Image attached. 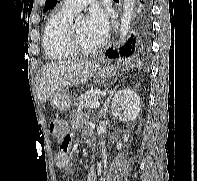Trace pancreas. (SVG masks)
Here are the masks:
<instances>
[{"label":"pancreas","mask_w":197,"mask_h":181,"mask_svg":"<svg viewBox=\"0 0 197 181\" xmlns=\"http://www.w3.org/2000/svg\"><path fill=\"white\" fill-rule=\"evenodd\" d=\"M98 99L99 94L97 93H85L76 99L75 105L78 109H84L90 107V105Z\"/></svg>","instance_id":"obj_1"}]
</instances>
